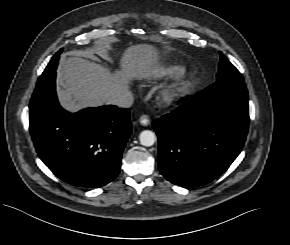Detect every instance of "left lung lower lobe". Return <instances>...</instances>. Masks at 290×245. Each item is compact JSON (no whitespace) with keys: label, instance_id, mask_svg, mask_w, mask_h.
<instances>
[{"label":"left lung lower lobe","instance_id":"0a47b994","mask_svg":"<svg viewBox=\"0 0 290 245\" xmlns=\"http://www.w3.org/2000/svg\"><path fill=\"white\" fill-rule=\"evenodd\" d=\"M152 125L161 174L179 186L205 185L225 172L243 148L249 126L246 85L216 82Z\"/></svg>","mask_w":290,"mask_h":245}]
</instances>
